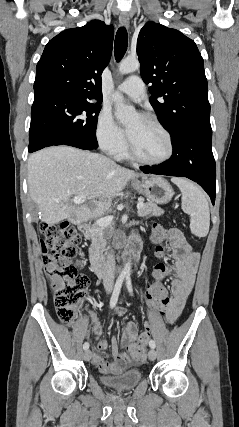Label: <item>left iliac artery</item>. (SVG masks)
Masks as SVG:
<instances>
[{
  "mask_svg": "<svg viewBox=\"0 0 239 427\" xmlns=\"http://www.w3.org/2000/svg\"><path fill=\"white\" fill-rule=\"evenodd\" d=\"M126 285H127V289H128V291H129V293H130L131 295H133V289H132V283H131V279H130V277H127V279H126ZM149 346H150L151 348H155V347H156L155 341H154V340H150V341H149Z\"/></svg>",
  "mask_w": 239,
  "mask_h": 427,
  "instance_id": "left-iliac-artery-1",
  "label": "left iliac artery"
}]
</instances>
